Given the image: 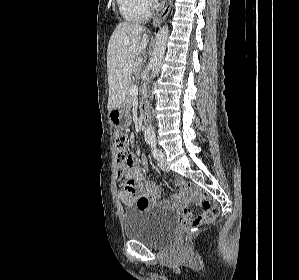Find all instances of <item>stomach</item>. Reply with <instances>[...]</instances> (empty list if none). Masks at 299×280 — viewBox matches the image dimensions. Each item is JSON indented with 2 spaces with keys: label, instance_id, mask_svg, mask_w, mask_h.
I'll use <instances>...</instances> for the list:
<instances>
[{
  "label": "stomach",
  "instance_id": "obj_1",
  "mask_svg": "<svg viewBox=\"0 0 299 280\" xmlns=\"http://www.w3.org/2000/svg\"><path fill=\"white\" fill-rule=\"evenodd\" d=\"M111 124L117 129L127 128L131 124L129 105L124 102L108 114Z\"/></svg>",
  "mask_w": 299,
  "mask_h": 280
}]
</instances>
